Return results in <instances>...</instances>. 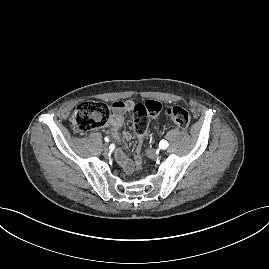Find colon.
I'll list each match as a JSON object with an SVG mask.
<instances>
[{"instance_id": "5ec220e1", "label": "colon", "mask_w": 269, "mask_h": 269, "mask_svg": "<svg viewBox=\"0 0 269 269\" xmlns=\"http://www.w3.org/2000/svg\"><path fill=\"white\" fill-rule=\"evenodd\" d=\"M161 104L154 100H148L144 103H138L134 107L133 129L138 137L139 145L135 154V164L141 167L143 158L141 155V146L143 138L147 133L149 118L156 116L161 111ZM167 117L178 127L188 128L190 124L189 112L179 105H172L166 108ZM110 116L108 105L101 102L87 101L79 104L74 110L70 127L74 133L83 134L90 130L103 127Z\"/></svg>"}]
</instances>
